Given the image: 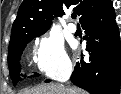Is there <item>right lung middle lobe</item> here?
<instances>
[{
  "label": "right lung middle lobe",
  "instance_id": "obj_1",
  "mask_svg": "<svg viewBox=\"0 0 121 94\" xmlns=\"http://www.w3.org/2000/svg\"><path fill=\"white\" fill-rule=\"evenodd\" d=\"M46 30L40 31V30H29L23 33L18 39L11 42L9 44V50H8V65H9V71L10 76L12 78L13 83L15 84L20 78H19V72H20V58L23 49L29 43L33 38L40 36L44 34ZM34 76H39L38 73H36Z\"/></svg>",
  "mask_w": 121,
  "mask_h": 94
}]
</instances>
